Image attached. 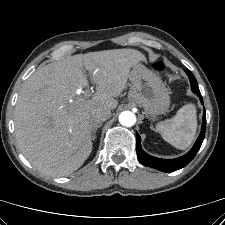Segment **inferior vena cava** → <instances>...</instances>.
Here are the masks:
<instances>
[{
	"mask_svg": "<svg viewBox=\"0 0 225 225\" xmlns=\"http://www.w3.org/2000/svg\"><path fill=\"white\" fill-rule=\"evenodd\" d=\"M111 111L106 107H96L91 110V119L93 124H98L110 118Z\"/></svg>",
	"mask_w": 225,
	"mask_h": 225,
	"instance_id": "obj_1",
	"label": "inferior vena cava"
}]
</instances>
